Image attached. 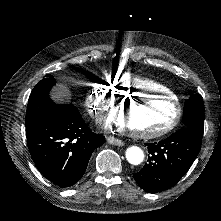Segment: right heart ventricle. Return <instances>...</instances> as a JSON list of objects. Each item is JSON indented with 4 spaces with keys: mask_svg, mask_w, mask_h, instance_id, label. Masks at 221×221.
Masks as SVG:
<instances>
[{
    "mask_svg": "<svg viewBox=\"0 0 221 221\" xmlns=\"http://www.w3.org/2000/svg\"><path fill=\"white\" fill-rule=\"evenodd\" d=\"M160 82L151 78L129 73L128 71H110L107 74V87L110 90L130 94H149L163 98H173L176 90L173 87L158 85Z\"/></svg>",
    "mask_w": 221,
    "mask_h": 221,
    "instance_id": "right-heart-ventricle-1",
    "label": "right heart ventricle"
}]
</instances>
